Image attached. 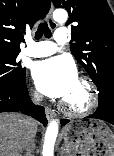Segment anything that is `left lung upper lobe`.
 I'll return each mask as SVG.
<instances>
[{
  "label": "left lung upper lobe",
  "instance_id": "1",
  "mask_svg": "<svg viewBox=\"0 0 114 156\" xmlns=\"http://www.w3.org/2000/svg\"><path fill=\"white\" fill-rule=\"evenodd\" d=\"M69 12L71 52L104 99L114 90V16L106 0H52ZM74 42V43H72Z\"/></svg>",
  "mask_w": 114,
  "mask_h": 156
}]
</instances>
